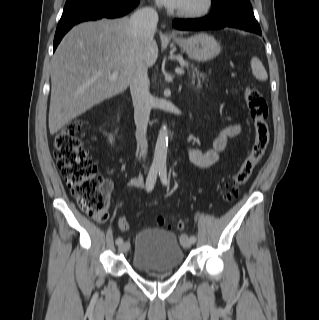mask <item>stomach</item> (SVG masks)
<instances>
[{
	"instance_id": "stomach-1",
	"label": "stomach",
	"mask_w": 319,
	"mask_h": 320,
	"mask_svg": "<svg viewBox=\"0 0 319 320\" xmlns=\"http://www.w3.org/2000/svg\"><path fill=\"white\" fill-rule=\"evenodd\" d=\"M174 41L190 59L199 62L211 60L221 51L217 40L207 33H198L188 38H175Z\"/></svg>"
}]
</instances>
